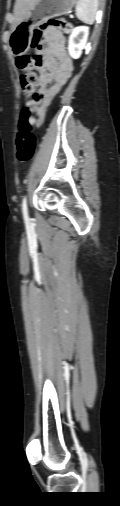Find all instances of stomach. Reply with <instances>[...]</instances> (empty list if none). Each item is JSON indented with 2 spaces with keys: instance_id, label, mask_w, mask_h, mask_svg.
I'll use <instances>...</instances> for the list:
<instances>
[{
  "instance_id": "obj_1",
  "label": "stomach",
  "mask_w": 120,
  "mask_h": 506,
  "mask_svg": "<svg viewBox=\"0 0 120 506\" xmlns=\"http://www.w3.org/2000/svg\"><path fill=\"white\" fill-rule=\"evenodd\" d=\"M77 0H39L9 36L8 46L17 57L25 54L31 45L33 29L51 17L68 13Z\"/></svg>"
}]
</instances>
